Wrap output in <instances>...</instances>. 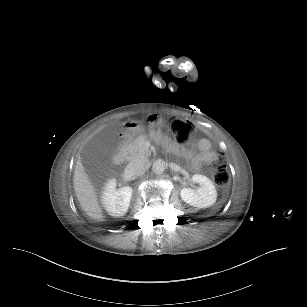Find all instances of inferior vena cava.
Masks as SVG:
<instances>
[{"instance_id": "obj_1", "label": "inferior vena cava", "mask_w": 307, "mask_h": 307, "mask_svg": "<svg viewBox=\"0 0 307 307\" xmlns=\"http://www.w3.org/2000/svg\"><path fill=\"white\" fill-rule=\"evenodd\" d=\"M145 171V158L142 156H136L133 158L125 168L127 174L140 176Z\"/></svg>"}]
</instances>
